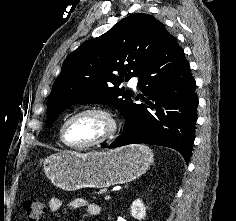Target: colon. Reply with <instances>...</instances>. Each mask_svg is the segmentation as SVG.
<instances>
[{"mask_svg": "<svg viewBox=\"0 0 236 221\" xmlns=\"http://www.w3.org/2000/svg\"><path fill=\"white\" fill-rule=\"evenodd\" d=\"M24 209L30 221H38L44 213V204L37 198H28L24 201Z\"/></svg>", "mask_w": 236, "mask_h": 221, "instance_id": "colon-1", "label": "colon"}]
</instances>
